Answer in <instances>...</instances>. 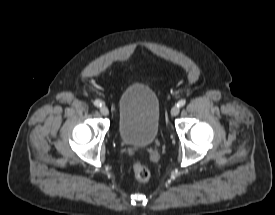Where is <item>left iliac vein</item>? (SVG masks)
I'll list each match as a JSON object with an SVG mask.
<instances>
[{
	"label": "left iliac vein",
	"instance_id": "4c4485c4",
	"mask_svg": "<svg viewBox=\"0 0 275 215\" xmlns=\"http://www.w3.org/2000/svg\"><path fill=\"white\" fill-rule=\"evenodd\" d=\"M180 112V108L178 106H173L171 109V116H177Z\"/></svg>",
	"mask_w": 275,
	"mask_h": 215
}]
</instances>
